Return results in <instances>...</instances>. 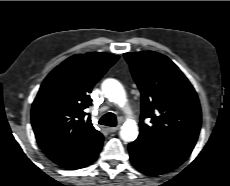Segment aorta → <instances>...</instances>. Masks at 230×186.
Segmentation results:
<instances>
[{"label":"aorta","mask_w":230,"mask_h":186,"mask_svg":"<svg viewBox=\"0 0 230 186\" xmlns=\"http://www.w3.org/2000/svg\"><path fill=\"white\" fill-rule=\"evenodd\" d=\"M105 97L120 106L126 102V93L121 83L115 79H106L102 83ZM138 136V127L134 120L126 121L120 130V137L125 142H132Z\"/></svg>","instance_id":"762f6f07"}]
</instances>
